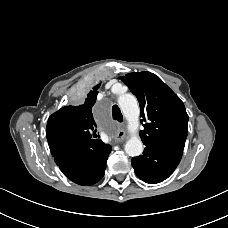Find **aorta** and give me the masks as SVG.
I'll return each instance as SVG.
<instances>
[{
    "label": "aorta",
    "instance_id": "1",
    "mask_svg": "<svg viewBox=\"0 0 228 228\" xmlns=\"http://www.w3.org/2000/svg\"><path fill=\"white\" fill-rule=\"evenodd\" d=\"M118 103L129 122V130L132 133L125 144V152L131 157L139 156L143 152V143L139 136L133 134L139 125L140 109L137 99L132 94H123L119 96Z\"/></svg>",
    "mask_w": 228,
    "mask_h": 228
}]
</instances>
